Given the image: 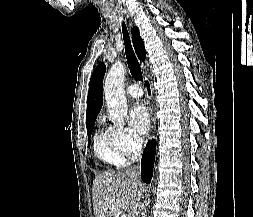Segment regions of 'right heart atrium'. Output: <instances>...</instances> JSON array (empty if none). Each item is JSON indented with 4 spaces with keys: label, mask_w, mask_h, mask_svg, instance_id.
I'll return each mask as SVG.
<instances>
[{
    "label": "right heart atrium",
    "mask_w": 253,
    "mask_h": 217,
    "mask_svg": "<svg viewBox=\"0 0 253 217\" xmlns=\"http://www.w3.org/2000/svg\"><path fill=\"white\" fill-rule=\"evenodd\" d=\"M109 131L125 157L133 159L137 156L141 150L142 141L136 133L122 126H111L109 127Z\"/></svg>",
    "instance_id": "d8ad5b80"
}]
</instances>
